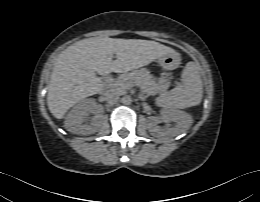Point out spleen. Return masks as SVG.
Here are the masks:
<instances>
[{"label":"spleen","instance_id":"spleen-1","mask_svg":"<svg viewBox=\"0 0 260 202\" xmlns=\"http://www.w3.org/2000/svg\"><path fill=\"white\" fill-rule=\"evenodd\" d=\"M203 87L197 65L189 62L182 72V82L176 88L157 98L158 106L166 110L184 109L200 104Z\"/></svg>","mask_w":260,"mask_h":202}]
</instances>
